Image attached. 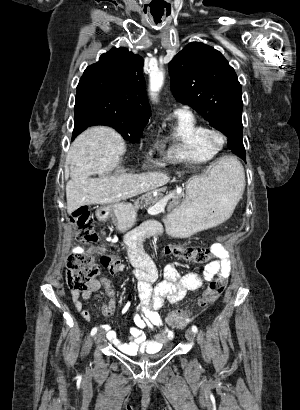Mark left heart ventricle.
<instances>
[{"mask_svg":"<svg viewBox=\"0 0 300 410\" xmlns=\"http://www.w3.org/2000/svg\"><path fill=\"white\" fill-rule=\"evenodd\" d=\"M214 140H215L216 142H220V138H219V137H215Z\"/></svg>","mask_w":300,"mask_h":410,"instance_id":"left-heart-ventricle-1","label":"left heart ventricle"}]
</instances>
